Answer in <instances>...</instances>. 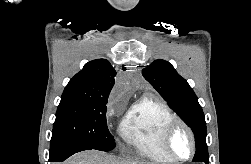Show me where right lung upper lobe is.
Masks as SVG:
<instances>
[{
    "mask_svg": "<svg viewBox=\"0 0 251 164\" xmlns=\"http://www.w3.org/2000/svg\"><path fill=\"white\" fill-rule=\"evenodd\" d=\"M116 71L106 59L86 63L65 87L62 97L107 100L115 82Z\"/></svg>",
    "mask_w": 251,
    "mask_h": 164,
    "instance_id": "1",
    "label": "right lung upper lobe"
}]
</instances>
